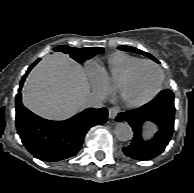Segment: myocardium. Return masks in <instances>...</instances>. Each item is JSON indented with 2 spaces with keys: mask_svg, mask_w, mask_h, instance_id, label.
Returning a JSON list of instances; mask_svg holds the SVG:
<instances>
[{
  "mask_svg": "<svg viewBox=\"0 0 194 193\" xmlns=\"http://www.w3.org/2000/svg\"><path fill=\"white\" fill-rule=\"evenodd\" d=\"M144 64H150L152 66H154L158 72H159V82L158 85L156 87V89L154 90V92L147 98L141 100V101H128L125 98H123L122 96V88L123 86L130 80V78L133 76V74L135 73V71L142 65ZM164 79H165V74L164 71L162 69V67L155 61L150 60V59H143L137 63H135L134 65H132L117 81V83L115 84L114 90L117 93V95L119 96L120 100L122 101L123 104H125L128 107H140L143 106L149 102H151L152 100H154L159 93L161 92L162 88H163V84H164Z\"/></svg>",
  "mask_w": 194,
  "mask_h": 193,
  "instance_id": "myocardium-1",
  "label": "myocardium"
}]
</instances>
